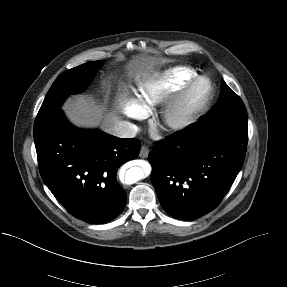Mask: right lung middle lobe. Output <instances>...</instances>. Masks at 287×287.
I'll use <instances>...</instances> for the list:
<instances>
[{
	"mask_svg": "<svg viewBox=\"0 0 287 287\" xmlns=\"http://www.w3.org/2000/svg\"><path fill=\"white\" fill-rule=\"evenodd\" d=\"M101 62H88L60 74L49 89L37 117L57 110L69 94L82 91Z\"/></svg>",
	"mask_w": 287,
	"mask_h": 287,
	"instance_id": "1",
	"label": "right lung middle lobe"
}]
</instances>
